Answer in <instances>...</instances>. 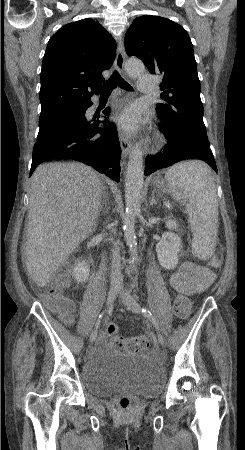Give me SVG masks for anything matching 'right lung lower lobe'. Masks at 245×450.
Segmentation results:
<instances>
[{
    "mask_svg": "<svg viewBox=\"0 0 245 450\" xmlns=\"http://www.w3.org/2000/svg\"><path fill=\"white\" fill-rule=\"evenodd\" d=\"M91 105L92 102L89 101L80 112L63 118L52 129L50 136L37 142L29 176L41 162L64 158L82 161L119 181L121 150L116 129L108 126L101 130L98 127L99 121H88L85 111ZM108 111L109 108L104 114L108 115Z\"/></svg>",
    "mask_w": 245,
    "mask_h": 450,
    "instance_id": "right-lung-lower-lobe-1",
    "label": "right lung lower lobe"
}]
</instances>
